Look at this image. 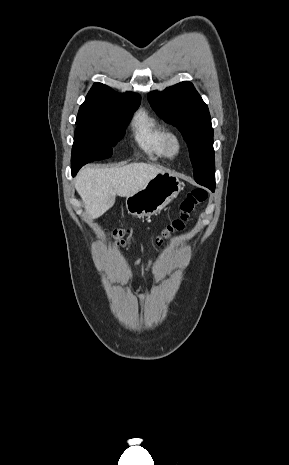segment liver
Listing matches in <instances>:
<instances>
[{
  "instance_id": "1",
  "label": "liver",
  "mask_w": 289,
  "mask_h": 465,
  "mask_svg": "<svg viewBox=\"0 0 289 465\" xmlns=\"http://www.w3.org/2000/svg\"><path fill=\"white\" fill-rule=\"evenodd\" d=\"M162 169L146 163H131L118 168L82 169L75 179L90 218H98L115 203L116 195L127 197L142 189Z\"/></svg>"
}]
</instances>
